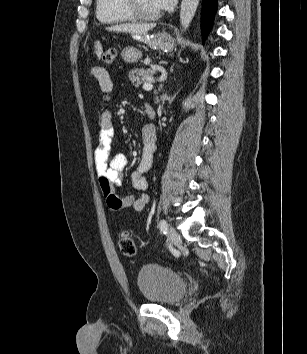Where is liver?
I'll list each match as a JSON object with an SVG mask.
<instances>
[{
	"instance_id": "liver-1",
	"label": "liver",
	"mask_w": 307,
	"mask_h": 354,
	"mask_svg": "<svg viewBox=\"0 0 307 354\" xmlns=\"http://www.w3.org/2000/svg\"><path fill=\"white\" fill-rule=\"evenodd\" d=\"M154 24H143V23H133V24H119L108 27L107 30L113 32L122 33H133L136 35L146 34L149 30L154 28Z\"/></svg>"
}]
</instances>
